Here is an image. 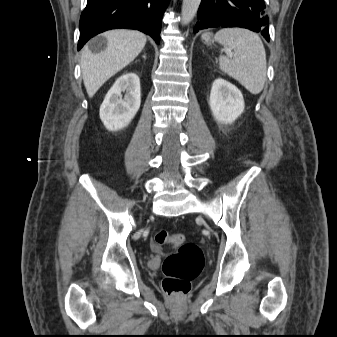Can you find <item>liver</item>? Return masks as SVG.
Returning <instances> with one entry per match:
<instances>
[{"mask_svg": "<svg viewBox=\"0 0 337 337\" xmlns=\"http://www.w3.org/2000/svg\"><path fill=\"white\" fill-rule=\"evenodd\" d=\"M102 36L107 39L102 52L93 53L85 46L81 55L83 82L90 98L110 77L130 64L147 41L143 33L126 29L106 31Z\"/></svg>", "mask_w": 337, "mask_h": 337, "instance_id": "6515ba94", "label": "liver"}]
</instances>
